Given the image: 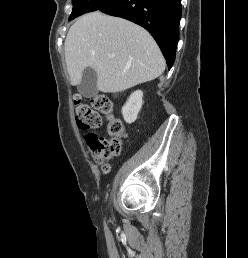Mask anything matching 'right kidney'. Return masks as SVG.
Instances as JSON below:
<instances>
[{
	"mask_svg": "<svg viewBox=\"0 0 248 258\" xmlns=\"http://www.w3.org/2000/svg\"><path fill=\"white\" fill-rule=\"evenodd\" d=\"M143 92L138 90L133 92L128 98L125 105L122 107V115L126 123H133L140 112L143 104Z\"/></svg>",
	"mask_w": 248,
	"mask_h": 258,
	"instance_id": "1",
	"label": "right kidney"
}]
</instances>
